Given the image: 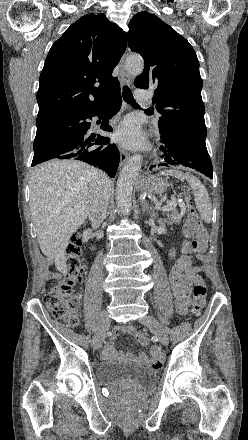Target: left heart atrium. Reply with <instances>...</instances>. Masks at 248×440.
<instances>
[{"instance_id":"left-heart-atrium-1","label":"left heart atrium","mask_w":248,"mask_h":440,"mask_svg":"<svg viewBox=\"0 0 248 440\" xmlns=\"http://www.w3.org/2000/svg\"><path fill=\"white\" fill-rule=\"evenodd\" d=\"M114 139L122 146L136 149L144 146L141 129L135 119L128 117L116 128Z\"/></svg>"}]
</instances>
